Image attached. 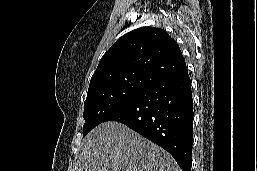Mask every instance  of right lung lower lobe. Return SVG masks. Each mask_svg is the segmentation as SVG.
Returning <instances> with one entry per match:
<instances>
[{
    "mask_svg": "<svg viewBox=\"0 0 257 171\" xmlns=\"http://www.w3.org/2000/svg\"><path fill=\"white\" fill-rule=\"evenodd\" d=\"M193 99L187 67L149 85L105 121H117L168 151L191 171Z\"/></svg>",
    "mask_w": 257,
    "mask_h": 171,
    "instance_id": "right-lung-lower-lobe-1",
    "label": "right lung lower lobe"
}]
</instances>
